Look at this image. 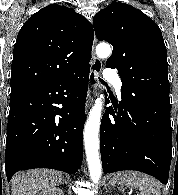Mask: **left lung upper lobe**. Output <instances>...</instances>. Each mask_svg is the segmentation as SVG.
Segmentation results:
<instances>
[{"label":"left lung upper lobe","mask_w":178,"mask_h":195,"mask_svg":"<svg viewBox=\"0 0 178 195\" xmlns=\"http://www.w3.org/2000/svg\"><path fill=\"white\" fill-rule=\"evenodd\" d=\"M93 23L97 38L113 46L106 66L118 70L122 93L170 106L167 51L158 25L116 1L97 13Z\"/></svg>","instance_id":"obj_1"}]
</instances>
